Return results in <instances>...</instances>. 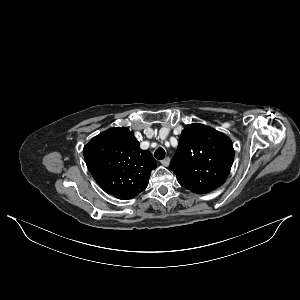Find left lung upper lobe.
Wrapping results in <instances>:
<instances>
[{
	"label": "left lung upper lobe",
	"mask_w": 300,
	"mask_h": 300,
	"mask_svg": "<svg viewBox=\"0 0 300 300\" xmlns=\"http://www.w3.org/2000/svg\"><path fill=\"white\" fill-rule=\"evenodd\" d=\"M233 160V143L225 134L194 123L184 128L170 169L181 186L205 194L225 182Z\"/></svg>",
	"instance_id": "obj_1"
}]
</instances>
